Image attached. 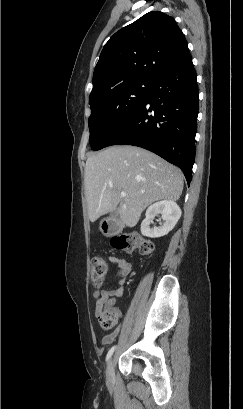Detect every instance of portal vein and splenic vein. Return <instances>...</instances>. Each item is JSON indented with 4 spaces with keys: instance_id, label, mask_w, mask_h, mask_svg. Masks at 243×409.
<instances>
[{
    "instance_id": "1",
    "label": "portal vein and splenic vein",
    "mask_w": 243,
    "mask_h": 409,
    "mask_svg": "<svg viewBox=\"0 0 243 409\" xmlns=\"http://www.w3.org/2000/svg\"><path fill=\"white\" fill-rule=\"evenodd\" d=\"M121 196H122V197H126V196H127V193H126L125 191H122V192H121Z\"/></svg>"
}]
</instances>
